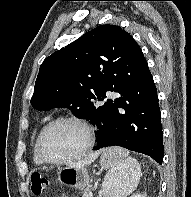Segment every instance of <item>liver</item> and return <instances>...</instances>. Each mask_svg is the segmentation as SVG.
<instances>
[{"label":"liver","instance_id":"6515ba94","mask_svg":"<svg viewBox=\"0 0 191 197\" xmlns=\"http://www.w3.org/2000/svg\"><path fill=\"white\" fill-rule=\"evenodd\" d=\"M100 153H101V151L95 152V153L89 155L87 158H85L83 160L71 163L69 166L70 167H75V168L85 167V166L91 164L92 162H94L96 160V158L99 156Z\"/></svg>","mask_w":191,"mask_h":197}]
</instances>
